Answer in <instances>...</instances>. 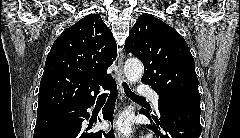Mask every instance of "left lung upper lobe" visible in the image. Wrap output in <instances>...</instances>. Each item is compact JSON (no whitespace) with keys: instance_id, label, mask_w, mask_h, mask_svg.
I'll use <instances>...</instances> for the list:
<instances>
[{"instance_id":"left-lung-upper-lobe-1","label":"left lung upper lobe","mask_w":240,"mask_h":138,"mask_svg":"<svg viewBox=\"0 0 240 138\" xmlns=\"http://www.w3.org/2000/svg\"><path fill=\"white\" fill-rule=\"evenodd\" d=\"M125 51L144 65L142 82L167 100L182 96L200 98L195 63L183 37L150 14H142L125 42Z\"/></svg>"}]
</instances>
